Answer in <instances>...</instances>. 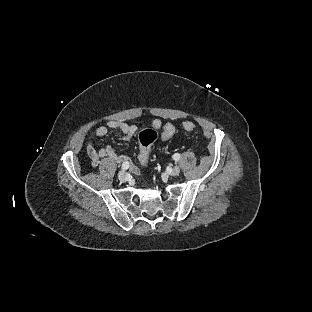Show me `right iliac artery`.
<instances>
[{
  "instance_id": "right-iliac-artery-1",
  "label": "right iliac artery",
  "mask_w": 312,
  "mask_h": 312,
  "mask_svg": "<svg viewBox=\"0 0 312 312\" xmlns=\"http://www.w3.org/2000/svg\"><path fill=\"white\" fill-rule=\"evenodd\" d=\"M121 168H122V170H127L129 168V163L128 162H123Z\"/></svg>"
}]
</instances>
